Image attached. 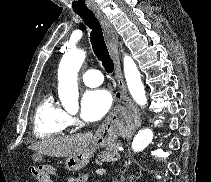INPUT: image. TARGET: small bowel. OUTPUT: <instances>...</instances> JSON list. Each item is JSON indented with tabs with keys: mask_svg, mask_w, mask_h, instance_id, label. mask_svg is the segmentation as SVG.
Instances as JSON below:
<instances>
[{
	"mask_svg": "<svg viewBox=\"0 0 211 182\" xmlns=\"http://www.w3.org/2000/svg\"><path fill=\"white\" fill-rule=\"evenodd\" d=\"M85 180V177H71L68 182H86Z\"/></svg>",
	"mask_w": 211,
	"mask_h": 182,
	"instance_id": "c3829d8e",
	"label": "small bowel"
}]
</instances>
